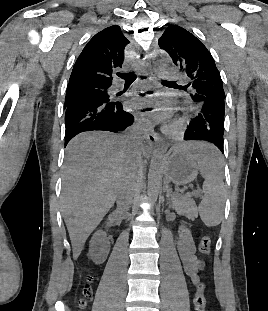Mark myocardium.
<instances>
[{
    "label": "myocardium",
    "mask_w": 268,
    "mask_h": 311,
    "mask_svg": "<svg viewBox=\"0 0 268 311\" xmlns=\"http://www.w3.org/2000/svg\"><path fill=\"white\" fill-rule=\"evenodd\" d=\"M185 129V124L183 119H177L173 123L163 127V132L173 139H179L182 137Z\"/></svg>",
    "instance_id": "f54148a6"
}]
</instances>
